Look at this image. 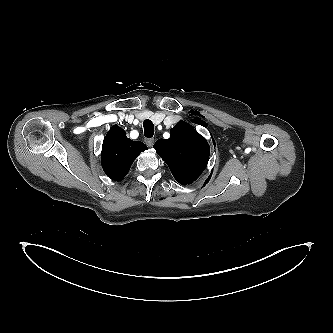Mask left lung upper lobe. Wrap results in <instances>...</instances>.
I'll return each mask as SVG.
<instances>
[{"label":"left lung upper lobe","mask_w":333,"mask_h":333,"mask_svg":"<svg viewBox=\"0 0 333 333\" xmlns=\"http://www.w3.org/2000/svg\"><path fill=\"white\" fill-rule=\"evenodd\" d=\"M182 185L195 181L207 166L210 148L207 141L184 121L170 131V138L153 146Z\"/></svg>","instance_id":"5c2ea615"}]
</instances>
